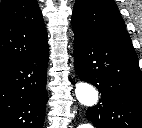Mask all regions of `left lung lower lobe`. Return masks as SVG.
Wrapping results in <instances>:
<instances>
[{"mask_svg": "<svg viewBox=\"0 0 142 128\" xmlns=\"http://www.w3.org/2000/svg\"><path fill=\"white\" fill-rule=\"evenodd\" d=\"M74 61L81 80L101 93L86 116L95 128H142V74L137 56L74 30Z\"/></svg>", "mask_w": 142, "mask_h": 128, "instance_id": "0a47b994", "label": "left lung lower lobe"}]
</instances>
